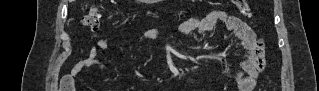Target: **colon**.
<instances>
[{"label":"colon","mask_w":319,"mask_h":91,"mask_svg":"<svg viewBox=\"0 0 319 91\" xmlns=\"http://www.w3.org/2000/svg\"><path fill=\"white\" fill-rule=\"evenodd\" d=\"M232 3L243 15L250 17L251 12L246 0H233ZM103 23L102 12L99 7H91L82 17V24L92 31L98 30Z\"/></svg>","instance_id":"colon-1"}]
</instances>
